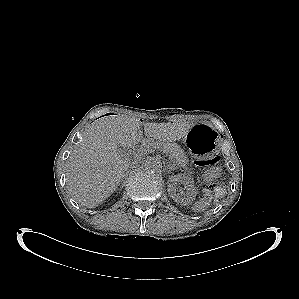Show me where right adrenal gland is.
<instances>
[{
  "label": "right adrenal gland",
  "instance_id": "right-adrenal-gland-1",
  "mask_svg": "<svg viewBox=\"0 0 299 299\" xmlns=\"http://www.w3.org/2000/svg\"><path fill=\"white\" fill-rule=\"evenodd\" d=\"M127 173H128V172H126V173L123 174V177H122V179H121V181H120L121 183L124 182V179L126 178ZM122 187H123V186H122Z\"/></svg>",
  "mask_w": 299,
  "mask_h": 299
}]
</instances>
